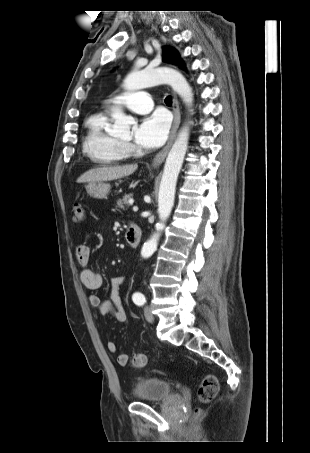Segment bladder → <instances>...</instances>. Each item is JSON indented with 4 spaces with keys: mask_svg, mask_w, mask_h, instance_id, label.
Segmentation results:
<instances>
[{
    "mask_svg": "<svg viewBox=\"0 0 310 453\" xmlns=\"http://www.w3.org/2000/svg\"><path fill=\"white\" fill-rule=\"evenodd\" d=\"M133 396L142 402H156L168 399L174 395L170 382L158 377L139 379L133 388Z\"/></svg>",
    "mask_w": 310,
    "mask_h": 453,
    "instance_id": "31cf9c89",
    "label": "bladder"
}]
</instances>
